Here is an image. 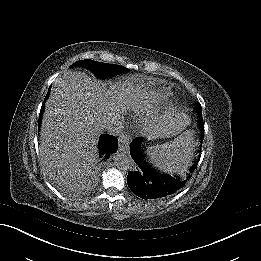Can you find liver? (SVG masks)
Instances as JSON below:
<instances>
[{"label":"liver","instance_id":"obj_1","mask_svg":"<svg viewBox=\"0 0 261 261\" xmlns=\"http://www.w3.org/2000/svg\"><path fill=\"white\" fill-rule=\"evenodd\" d=\"M135 99L130 89L108 88L84 72H71L56 81L40 131V162L50 177L86 172L97 155V138L105 122L121 118L129 106L140 108Z\"/></svg>","mask_w":261,"mask_h":261}]
</instances>
